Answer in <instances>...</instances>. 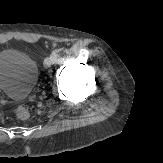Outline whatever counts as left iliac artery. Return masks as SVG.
<instances>
[{
  "label": "left iliac artery",
  "mask_w": 163,
  "mask_h": 163,
  "mask_svg": "<svg viewBox=\"0 0 163 163\" xmlns=\"http://www.w3.org/2000/svg\"><path fill=\"white\" fill-rule=\"evenodd\" d=\"M52 56L54 57V61H55L57 56H58V51L57 50H53L52 51Z\"/></svg>",
  "instance_id": "left-iliac-artery-1"
}]
</instances>
